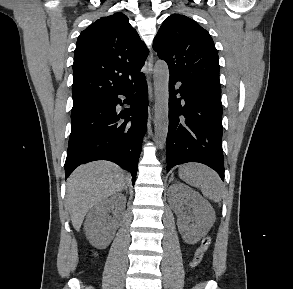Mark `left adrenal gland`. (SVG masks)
Wrapping results in <instances>:
<instances>
[{"mask_svg": "<svg viewBox=\"0 0 293 289\" xmlns=\"http://www.w3.org/2000/svg\"><path fill=\"white\" fill-rule=\"evenodd\" d=\"M173 181V174L171 175L170 179H169V183Z\"/></svg>", "mask_w": 293, "mask_h": 289, "instance_id": "a2214340", "label": "left adrenal gland"}]
</instances>
